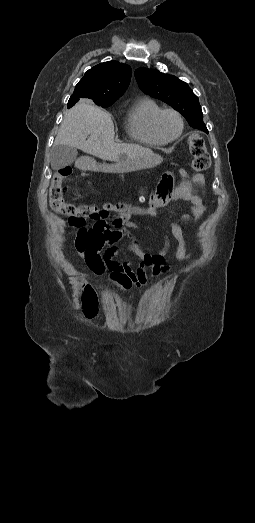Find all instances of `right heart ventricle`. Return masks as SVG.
Returning <instances> with one entry per match:
<instances>
[{"label": "right heart ventricle", "instance_id": "e07e8e85", "mask_svg": "<svg viewBox=\"0 0 255 523\" xmlns=\"http://www.w3.org/2000/svg\"><path fill=\"white\" fill-rule=\"evenodd\" d=\"M161 108L162 106L153 97L146 96L139 99L132 107L126 120L128 137L147 145L164 144L165 142L156 136L152 128V120Z\"/></svg>", "mask_w": 255, "mask_h": 523}]
</instances>
